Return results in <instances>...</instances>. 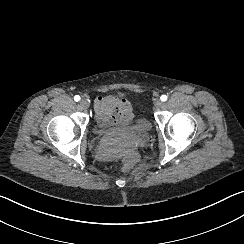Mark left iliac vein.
Masks as SVG:
<instances>
[{
  "instance_id": "obj_1",
  "label": "left iliac vein",
  "mask_w": 244,
  "mask_h": 244,
  "mask_svg": "<svg viewBox=\"0 0 244 244\" xmlns=\"http://www.w3.org/2000/svg\"><path fill=\"white\" fill-rule=\"evenodd\" d=\"M154 107H155L156 109H161V108L163 107V102H162L161 100H156V101L154 102Z\"/></svg>"
}]
</instances>
